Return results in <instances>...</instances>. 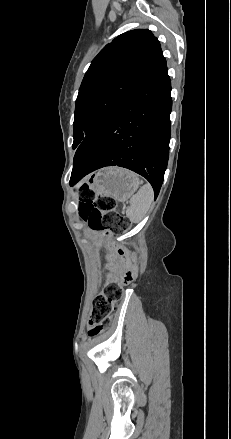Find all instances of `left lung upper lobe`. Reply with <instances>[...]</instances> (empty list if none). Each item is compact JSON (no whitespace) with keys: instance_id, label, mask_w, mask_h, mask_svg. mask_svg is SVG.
<instances>
[{"instance_id":"1","label":"left lung upper lobe","mask_w":231,"mask_h":439,"mask_svg":"<svg viewBox=\"0 0 231 439\" xmlns=\"http://www.w3.org/2000/svg\"><path fill=\"white\" fill-rule=\"evenodd\" d=\"M164 61L158 39L147 29L128 31L107 44L91 62L79 88L73 149Z\"/></svg>"}]
</instances>
